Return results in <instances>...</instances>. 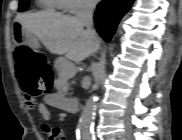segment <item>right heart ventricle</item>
<instances>
[{"label":"right heart ventricle","mask_w":182,"mask_h":140,"mask_svg":"<svg viewBox=\"0 0 182 140\" xmlns=\"http://www.w3.org/2000/svg\"><path fill=\"white\" fill-rule=\"evenodd\" d=\"M42 5L48 10L62 9L63 0H43Z\"/></svg>","instance_id":"e07e8e85"}]
</instances>
